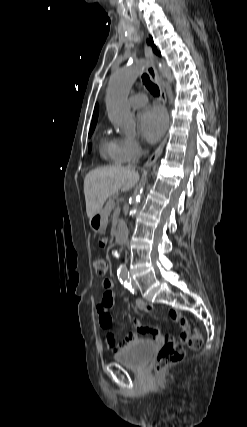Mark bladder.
I'll use <instances>...</instances> for the list:
<instances>
[{
  "mask_svg": "<svg viewBox=\"0 0 247 427\" xmlns=\"http://www.w3.org/2000/svg\"><path fill=\"white\" fill-rule=\"evenodd\" d=\"M155 349L156 345L154 342L137 340L116 352L114 359L127 368L138 370L148 364Z\"/></svg>",
  "mask_w": 247,
  "mask_h": 427,
  "instance_id": "1",
  "label": "bladder"
}]
</instances>
